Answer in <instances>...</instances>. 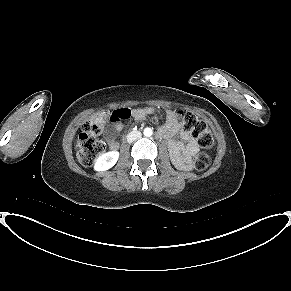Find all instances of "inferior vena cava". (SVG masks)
I'll list each match as a JSON object with an SVG mask.
<instances>
[{"label":"inferior vena cava","mask_w":291,"mask_h":291,"mask_svg":"<svg viewBox=\"0 0 291 291\" xmlns=\"http://www.w3.org/2000/svg\"><path fill=\"white\" fill-rule=\"evenodd\" d=\"M142 136L140 131H131L128 135H127V141L129 143L136 141L137 139H139Z\"/></svg>","instance_id":"inferior-vena-cava-1"}]
</instances>
